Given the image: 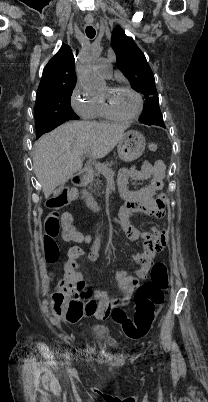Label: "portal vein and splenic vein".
I'll return each mask as SVG.
<instances>
[{
  "mask_svg": "<svg viewBox=\"0 0 208 402\" xmlns=\"http://www.w3.org/2000/svg\"><path fill=\"white\" fill-rule=\"evenodd\" d=\"M84 154H85L86 158L90 157L89 152H84ZM110 164H113V161H110ZM94 166H95V168H98L99 170H107L108 169V166L105 165V163H101V165L100 164H94Z\"/></svg>",
  "mask_w": 208,
  "mask_h": 402,
  "instance_id": "obj_1",
  "label": "portal vein and splenic vein"
}]
</instances>
